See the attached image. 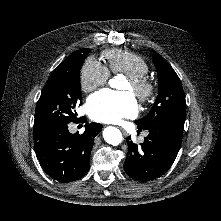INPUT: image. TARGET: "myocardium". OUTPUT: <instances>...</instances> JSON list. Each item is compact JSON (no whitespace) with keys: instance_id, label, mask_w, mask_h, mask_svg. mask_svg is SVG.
Here are the masks:
<instances>
[{"instance_id":"f54148a6","label":"myocardium","mask_w":221,"mask_h":221,"mask_svg":"<svg viewBox=\"0 0 221 221\" xmlns=\"http://www.w3.org/2000/svg\"><path fill=\"white\" fill-rule=\"evenodd\" d=\"M127 81L130 84L132 92L139 100V102L145 104L149 102L154 96L155 86L149 77H127Z\"/></svg>"}]
</instances>
